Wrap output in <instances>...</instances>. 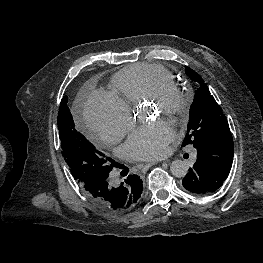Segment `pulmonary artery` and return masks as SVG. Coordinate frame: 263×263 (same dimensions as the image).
Masks as SVG:
<instances>
[{"mask_svg":"<svg viewBox=\"0 0 263 263\" xmlns=\"http://www.w3.org/2000/svg\"><path fill=\"white\" fill-rule=\"evenodd\" d=\"M193 158H194V159L196 158V153L193 154Z\"/></svg>","mask_w":263,"mask_h":263,"instance_id":"obj_1","label":"pulmonary artery"}]
</instances>
